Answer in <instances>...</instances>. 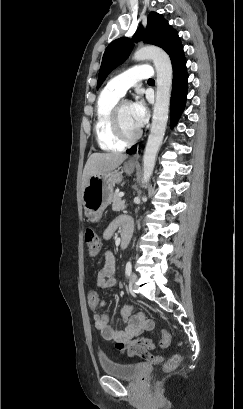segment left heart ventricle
Instances as JSON below:
<instances>
[{
    "instance_id": "left-heart-ventricle-1",
    "label": "left heart ventricle",
    "mask_w": 243,
    "mask_h": 409,
    "mask_svg": "<svg viewBox=\"0 0 243 409\" xmlns=\"http://www.w3.org/2000/svg\"><path fill=\"white\" fill-rule=\"evenodd\" d=\"M120 122L126 134L132 135L138 130L131 115V105L124 103L120 111Z\"/></svg>"
}]
</instances>
